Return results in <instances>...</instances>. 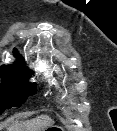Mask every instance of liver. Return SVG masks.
<instances>
[{
    "label": "liver",
    "mask_w": 117,
    "mask_h": 131,
    "mask_svg": "<svg viewBox=\"0 0 117 131\" xmlns=\"http://www.w3.org/2000/svg\"><path fill=\"white\" fill-rule=\"evenodd\" d=\"M53 120L48 116H41L35 120L16 124L9 128V131H43L53 124Z\"/></svg>",
    "instance_id": "obj_1"
}]
</instances>
